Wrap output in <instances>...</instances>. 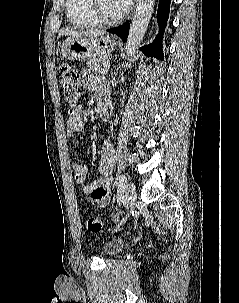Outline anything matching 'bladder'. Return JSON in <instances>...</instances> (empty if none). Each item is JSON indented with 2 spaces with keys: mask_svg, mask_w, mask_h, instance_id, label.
<instances>
[{
  "mask_svg": "<svg viewBox=\"0 0 239 303\" xmlns=\"http://www.w3.org/2000/svg\"><path fill=\"white\" fill-rule=\"evenodd\" d=\"M123 245L124 243L121 240L107 241L102 246V253L106 257L115 256L122 250Z\"/></svg>",
  "mask_w": 239,
  "mask_h": 303,
  "instance_id": "1",
  "label": "bladder"
}]
</instances>
